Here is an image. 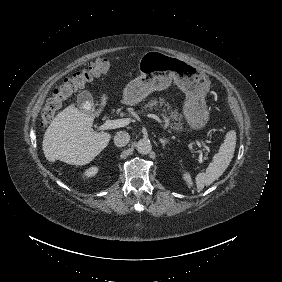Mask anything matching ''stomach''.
<instances>
[{
  "label": "stomach",
  "instance_id": "1",
  "mask_svg": "<svg viewBox=\"0 0 282 282\" xmlns=\"http://www.w3.org/2000/svg\"><path fill=\"white\" fill-rule=\"evenodd\" d=\"M140 75L122 91V103L136 106L155 90L167 89L172 80L187 95L185 115L193 127L208 119L204 97L210 88L209 78L187 61L160 51L145 52L139 60Z\"/></svg>",
  "mask_w": 282,
  "mask_h": 282
}]
</instances>
